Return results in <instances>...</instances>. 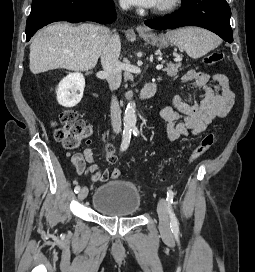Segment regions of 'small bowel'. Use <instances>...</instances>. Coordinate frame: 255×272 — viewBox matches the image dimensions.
Listing matches in <instances>:
<instances>
[{
  "mask_svg": "<svg viewBox=\"0 0 255 272\" xmlns=\"http://www.w3.org/2000/svg\"><path fill=\"white\" fill-rule=\"evenodd\" d=\"M181 81L193 83L192 89L202 92V96L189 100L186 94H178L172 105L158 110L157 116L168 141L201 134L215 118L226 116L235 103L229 79L222 73L208 74L189 69L182 75ZM105 152L108 163H115V148L112 143L105 144ZM71 161L79 174L89 171L93 182H105L112 178L108 170H101L95 163L93 151L89 147L82 152L73 153Z\"/></svg>",
  "mask_w": 255,
  "mask_h": 272,
  "instance_id": "small-bowel-1",
  "label": "small bowel"
}]
</instances>
